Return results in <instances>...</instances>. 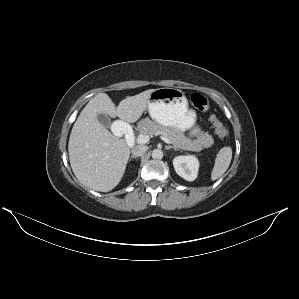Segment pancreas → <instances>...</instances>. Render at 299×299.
<instances>
[{"instance_id":"1","label":"pancreas","mask_w":299,"mask_h":299,"mask_svg":"<svg viewBox=\"0 0 299 299\" xmlns=\"http://www.w3.org/2000/svg\"><path fill=\"white\" fill-rule=\"evenodd\" d=\"M137 128L140 133L148 136L159 134L165 136L171 141L173 147L177 149L201 150L203 147H209L213 143L212 137L207 133L201 134L196 140L192 141L183 132L162 126L148 118L141 120Z\"/></svg>"}]
</instances>
